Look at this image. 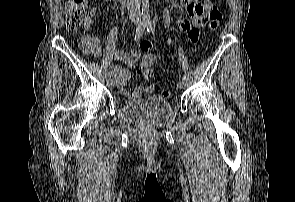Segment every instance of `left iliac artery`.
Here are the masks:
<instances>
[{
  "label": "left iliac artery",
  "mask_w": 295,
  "mask_h": 202,
  "mask_svg": "<svg viewBox=\"0 0 295 202\" xmlns=\"http://www.w3.org/2000/svg\"><path fill=\"white\" fill-rule=\"evenodd\" d=\"M145 25H146V29H147V32H153V27H152V23H151V21H147L146 23H145ZM182 79L183 80H187V77L184 75L183 77H182Z\"/></svg>",
  "instance_id": "1"
}]
</instances>
